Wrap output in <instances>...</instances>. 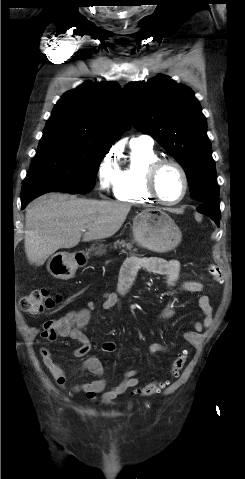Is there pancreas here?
<instances>
[{
	"mask_svg": "<svg viewBox=\"0 0 245 479\" xmlns=\"http://www.w3.org/2000/svg\"><path fill=\"white\" fill-rule=\"evenodd\" d=\"M117 246L119 247H125L126 249L128 250H131L132 249V243H127L126 241L124 240H117L115 243H114V248L116 249Z\"/></svg>",
	"mask_w": 245,
	"mask_h": 479,
	"instance_id": "pancreas-1",
	"label": "pancreas"
}]
</instances>
